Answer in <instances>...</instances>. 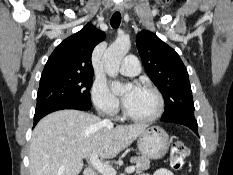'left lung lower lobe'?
Listing matches in <instances>:
<instances>
[{
  "label": "left lung lower lobe",
  "instance_id": "1",
  "mask_svg": "<svg viewBox=\"0 0 233 175\" xmlns=\"http://www.w3.org/2000/svg\"><path fill=\"white\" fill-rule=\"evenodd\" d=\"M164 122H171L182 124L190 128L197 136L198 135V124L195 117H188V116H179V117H172L168 119H161Z\"/></svg>",
  "mask_w": 233,
  "mask_h": 175
}]
</instances>
